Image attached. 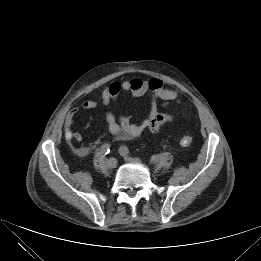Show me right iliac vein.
Wrapping results in <instances>:
<instances>
[{"mask_svg":"<svg viewBox=\"0 0 261 261\" xmlns=\"http://www.w3.org/2000/svg\"><path fill=\"white\" fill-rule=\"evenodd\" d=\"M117 163H118V162H117V159H116V158H113V157L107 160V166H108V168H110V169L116 168Z\"/></svg>","mask_w":261,"mask_h":261,"instance_id":"obj_1","label":"right iliac vein"}]
</instances>
